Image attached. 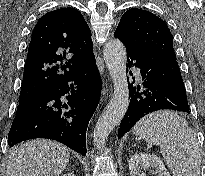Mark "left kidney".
Returning a JSON list of instances; mask_svg holds the SVG:
<instances>
[{
    "label": "left kidney",
    "instance_id": "obj_1",
    "mask_svg": "<svg viewBox=\"0 0 205 176\" xmlns=\"http://www.w3.org/2000/svg\"><path fill=\"white\" fill-rule=\"evenodd\" d=\"M129 171L131 176H146L142 169H155L158 176H170L163 161L154 154L139 153L131 156L129 160Z\"/></svg>",
    "mask_w": 205,
    "mask_h": 176
}]
</instances>
